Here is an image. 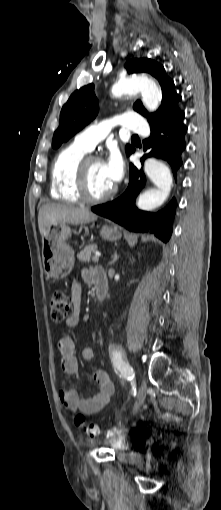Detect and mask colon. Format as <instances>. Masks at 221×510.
<instances>
[{"label":"colon","instance_id":"obj_1","mask_svg":"<svg viewBox=\"0 0 221 510\" xmlns=\"http://www.w3.org/2000/svg\"><path fill=\"white\" fill-rule=\"evenodd\" d=\"M74 305L72 298L62 290H56L52 293L50 300V314L54 322L60 323L67 319L73 313ZM74 423L81 428L89 437H99L103 430L92 423H87L83 415H76Z\"/></svg>","mask_w":221,"mask_h":510}]
</instances>
